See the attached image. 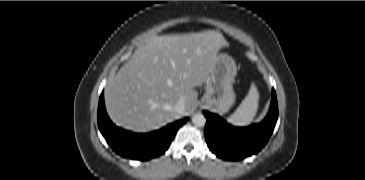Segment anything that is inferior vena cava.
Returning a JSON list of instances; mask_svg holds the SVG:
<instances>
[{
    "instance_id": "1",
    "label": "inferior vena cava",
    "mask_w": 365,
    "mask_h": 180,
    "mask_svg": "<svg viewBox=\"0 0 365 180\" xmlns=\"http://www.w3.org/2000/svg\"><path fill=\"white\" fill-rule=\"evenodd\" d=\"M174 110L178 113V114H183L184 110H185V101L183 99H180L176 105L174 106Z\"/></svg>"
}]
</instances>
